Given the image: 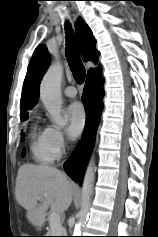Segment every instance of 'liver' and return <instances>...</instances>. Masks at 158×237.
<instances>
[{"label":"liver","instance_id":"1","mask_svg":"<svg viewBox=\"0 0 158 237\" xmlns=\"http://www.w3.org/2000/svg\"><path fill=\"white\" fill-rule=\"evenodd\" d=\"M74 193L73 182L57 168L23 164L18 170L15 196L18 203L26 209L28 221L38 230L45 223L47 210L50 208L58 214L65 212Z\"/></svg>","mask_w":158,"mask_h":237}]
</instances>
